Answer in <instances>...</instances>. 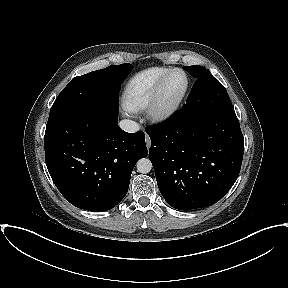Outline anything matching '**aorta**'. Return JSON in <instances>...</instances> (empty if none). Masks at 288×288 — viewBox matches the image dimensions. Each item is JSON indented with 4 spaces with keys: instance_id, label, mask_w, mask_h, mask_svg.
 Segmentation results:
<instances>
[{
    "instance_id": "762f6f07",
    "label": "aorta",
    "mask_w": 288,
    "mask_h": 288,
    "mask_svg": "<svg viewBox=\"0 0 288 288\" xmlns=\"http://www.w3.org/2000/svg\"><path fill=\"white\" fill-rule=\"evenodd\" d=\"M137 171L143 174H147L152 169V163L148 158H142L137 162Z\"/></svg>"
}]
</instances>
